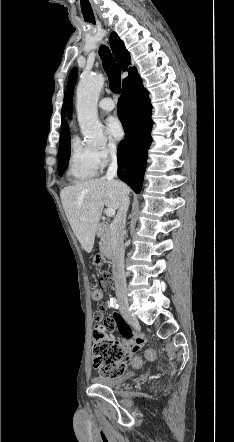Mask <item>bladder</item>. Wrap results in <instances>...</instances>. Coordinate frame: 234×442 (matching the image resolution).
Segmentation results:
<instances>
[{
	"label": "bladder",
	"mask_w": 234,
	"mask_h": 442,
	"mask_svg": "<svg viewBox=\"0 0 234 442\" xmlns=\"http://www.w3.org/2000/svg\"><path fill=\"white\" fill-rule=\"evenodd\" d=\"M131 376V372H125L117 377H97L94 379V382L104 387L115 388L127 379H129Z\"/></svg>",
	"instance_id": "obj_1"
}]
</instances>
